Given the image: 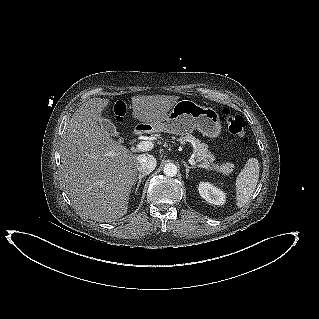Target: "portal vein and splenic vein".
Listing matches in <instances>:
<instances>
[{
    "label": "portal vein and splenic vein",
    "mask_w": 319,
    "mask_h": 319,
    "mask_svg": "<svg viewBox=\"0 0 319 319\" xmlns=\"http://www.w3.org/2000/svg\"><path fill=\"white\" fill-rule=\"evenodd\" d=\"M154 147V144L152 142L149 141H141L137 144L136 149L138 151H149L152 150ZM188 162L192 165V166H196V162L194 160V157H190L188 159Z\"/></svg>",
    "instance_id": "1"
}]
</instances>
